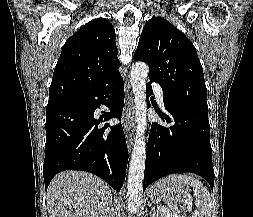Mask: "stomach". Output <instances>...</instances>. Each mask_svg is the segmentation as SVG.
<instances>
[{"label": "stomach", "mask_w": 253, "mask_h": 217, "mask_svg": "<svg viewBox=\"0 0 253 217\" xmlns=\"http://www.w3.org/2000/svg\"><path fill=\"white\" fill-rule=\"evenodd\" d=\"M150 194L151 198L161 200L173 207L178 217H184L189 204L192 203V198L184 185L172 181L169 177L156 182L151 187Z\"/></svg>", "instance_id": "1"}]
</instances>
